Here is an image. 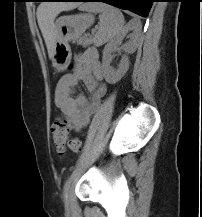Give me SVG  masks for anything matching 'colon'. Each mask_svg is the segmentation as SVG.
<instances>
[{
    "instance_id": "1",
    "label": "colon",
    "mask_w": 202,
    "mask_h": 217,
    "mask_svg": "<svg viewBox=\"0 0 202 217\" xmlns=\"http://www.w3.org/2000/svg\"><path fill=\"white\" fill-rule=\"evenodd\" d=\"M53 143L59 153H62L68 146L73 152L81 151V142L77 137H69L68 121L64 118H57L51 126Z\"/></svg>"
}]
</instances>
